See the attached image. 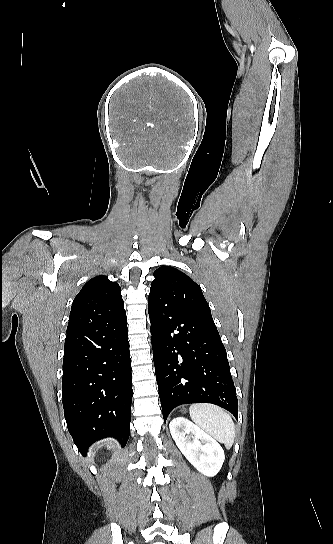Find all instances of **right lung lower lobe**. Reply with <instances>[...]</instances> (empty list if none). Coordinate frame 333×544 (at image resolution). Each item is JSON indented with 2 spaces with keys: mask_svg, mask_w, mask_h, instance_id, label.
I'll use <instances>...</instances> for the list:
<instances>
[{
  "mask_svg": "<svg viewBox=\"0 0 333 544\" xmlns=\"http://www.w3.org/2000/svg\"><path fill=\"white\" fill-rule=\"evenodd\" d=\"M63 408L69 433L86 455L94 442L128 440L132 374L126 313L67 333Z\"/></svg>",
  "mask_w": 333,
  "mask_h": 544,
  "instance_id": "right-lung-lower-lobe-1",
  "label": "right lung lower lobe"
}]
</instances>
